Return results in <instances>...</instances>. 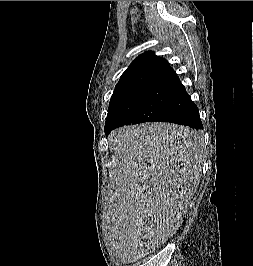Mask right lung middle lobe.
<instances>
[{"instance_id":"right-lung-middle-lobe-1","label":"right lung middle lobe","mask_w":253,"mask_h":266,"mask_svg":"<svg viewBox=\"0 0 253 266\" xmlns=\"http://www.w3.org/2000/svg\"><path fill=\"white\" fill-rule=\"evenodd\" d=\"M174 87L153 86L111 100L105 126L115 122L137 124L159 120L170 106Z\"/></svg>"}]
</instances>
